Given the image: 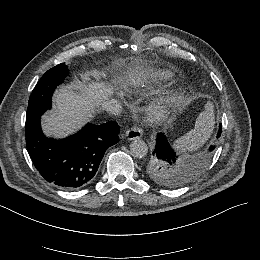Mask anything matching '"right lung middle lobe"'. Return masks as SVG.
I'll return each instance as SVG.
<instances>
[{
    "mask_svg": "<svg viewBox=\"0 0 260 260\" xmlns=\"http://www.w3.org/2000/svg\"><path fill=\"white\" fill-rule=\"evenodd\" d=\"M68 74L67 66L62 63L48 70L34 88L28 103L26 124L32 123L51 106L54 89L63 82Z\"/></svg>",
    "mask_w": 260,
    "mask_h": 260,
    "instance_id": "obj_1",
    "label": "right lung middle lobe"
}]
</instances>
